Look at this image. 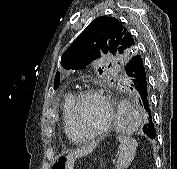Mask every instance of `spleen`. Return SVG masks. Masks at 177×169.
<instances>
[{
  "label": "spleen",
  "mask_w": 177,
  "mask_h": 169,
  "mask_svg": "<svg viewBox=\"0 0 177 169\" xmlns=\"http://www.w3.org/2000/svg\"><path fill=\"white\" fill-rule=\"evenodd\" d=\"M117 139L120 145L116 169H127L134 160L138 144L134 138L127 136H118Z\"/></svg>",
  "instance_id": "3e777b00"
}]
</instances>
